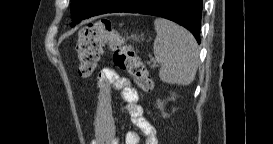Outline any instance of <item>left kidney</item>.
Returning a JSON list of instances; mask_svg holds the SVG:
<instances>
[{
	"label": "left kidney",
	"mask_w": 273,
	"mask_h": 144,
	"mask_svg": "<svg viewBox=\"0 0 273 144\" xmlns=\"http://www.w3.org/2000/svg\"><path fill=\"white\" fill-rule=\"evenodd\" d=\"M175 98H176V95L173 93L171 98H169V100H175ZM156 105L161 110L162 116L164 118L167 117V114L164 112V102L158 99Z\"/></svg>",
	"instance_id": "obj_1"
}]
</instances>
